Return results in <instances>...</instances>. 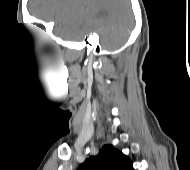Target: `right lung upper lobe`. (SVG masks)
<instances>
[{
	"label": "right lung upper lobe",
	"instance_id": "1",
	"mask_svg": "<svg viewBox=\"0 0 190 170\" xmlns=\"http://www.w3.org/2000/svg\"><path fill=\"white\" fill-rule=\"evenodd\" d=\"M78 170H134L130 158L111 145H103L97 156H91Z\"/></svg>",
	"mask_w": 190,
	"mask_h": 170
}]
</instances>
